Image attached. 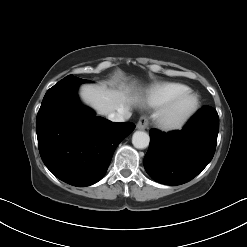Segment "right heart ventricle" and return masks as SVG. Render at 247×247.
<instances>
[{"mask_svg":"<svg viewBox=\"0 0 247 247\" xmlns=\"http://www.w3.org/2000/svg\"><path fill=\"white\" fill-rule=\"evenodd\" d=\"M189 90L186 85L175 82H158L153 84L147 92V106L158 108L166 104L176 95Z\"/></svg>","mask_w":247,"mask_h":247,"instance_id":"right-heart-ventricle-1","label":"right heart ventricle"}]
</instances>
